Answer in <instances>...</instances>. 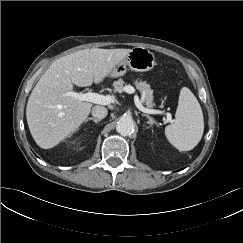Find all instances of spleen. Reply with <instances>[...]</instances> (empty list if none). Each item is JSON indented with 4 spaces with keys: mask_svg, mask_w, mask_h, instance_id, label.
<instances>
[{
    "mask_svg": "<svg viewBox=\"0 0 243 243\" xmlns=\"http://www.w3.org/2000/svg\"><path fill=\"white\" fill-rule=\"evenodd\" d=\"M204 131L201 106L187 87L180 91L175 120L165 128L168 141L179 151H190L200 142Z\"/></svg>",
    "mask_w": 243,
    "mask_h": 243,
    "instance_id": "spleen-1",
    "label": "spleen"
}]
</instances>
